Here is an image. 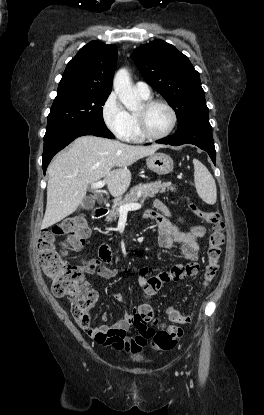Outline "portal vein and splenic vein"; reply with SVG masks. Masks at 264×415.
<instances>
[{"label":"portal vein and splenic vein","instance_id":"18ae733b","mask_svg":"<svg viewBox=\"0 0 264 415\" xmlns=\"http://www.w3.org/2000/svg\"><path fill=\"white\" fill-rule=\"evenodd\" d=\"M106 182L104 180H100L98 182H95L91 185L92 189L98 190L101 189L105 186ZM141 208V204L139 203H129L126 205H122L119 208V213L120 214H127L129 211H134V210H138Z\"/></svg>","mask_w":264,"mask_h":415}]
</instances>
